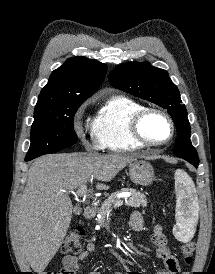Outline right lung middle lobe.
<instances>
[{
  "label": "right lung middle lobe",
  "mask_w": 215,
  "mask_h": 274,
  "mask_svg": "<svg viewBox=\"0 0 215 274\" xmlns=\"http://www.w3.org/2000/svg\"><path fill=\"white\" fill-rule=\"evenodd\" d=\"M81 103L36 104L31 145L25 160L55 153L76 143L73 118Z\"/></svg>",
  "instance_id": "dd1d6c3e"
}]
</instances>
